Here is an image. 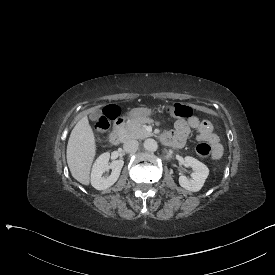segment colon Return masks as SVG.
Instances as JSON below:
<instances>
[{"label":"colon","instance_id":"colon-1","mask_svg":"<svg viewBox=\"0 0 275 275\" xmlns=\"http://www.w3.org/2000/svg\"><path fill=\"white\" fill-rule=\"evenodd\" d=\"M166 111L171 119L175 118H190L193 114L191 107L183 105L179 102L169 103ZM120 115V108L117 106H109L105 109L103 115L99 118L96 124V137L102 138L106 133L109 121L115 120ZM196 153L198 156L207 158L211 153V146L207 142H200L196 145Z\"/></svg>","mask_w":275,"mask_h":275}]
</instances>
